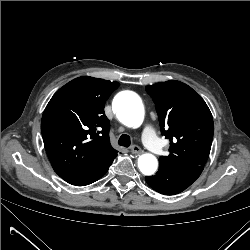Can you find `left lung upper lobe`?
<instances>
[{
	"instance_id": "left-lung-upper-lobe-1",
	"label": "left lung upper lobe",
	"mask_w": 250,
	"mask_h": 250,
	"mask_svg": "<svg viewBox=\"0 0 250 250\" xmlns=\"http://www.w3.org/2000/svg\"><path fill=\"white\" fill-rule=\"evenodd\" d=\"M159 116L162 134L170 139L169 155L159 166L204 167L210 153L214 124L205 101L188 85L176 81L146 87Z\"/></svg>"
}]
</instances>
